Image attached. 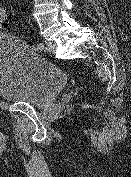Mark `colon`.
<instances>
[{"mask_svg": "<svg viewBox=\"0 0 131 177\" xmlns=\"http://www.w3.org/2000/svg\"><path fill=\"white\" fill-rule=\"evenodd\" d=\"M9 26L7 15H6V8L4 4L0 1V28L7 29Z\"/></svg>", "mask_w": 131, "mask_h": 177, "instance_id": "obj_1", "label": "colon"}]
</instances>
